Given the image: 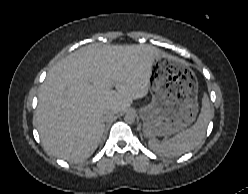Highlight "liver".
I'll return each mask as SVG.
<instances>
[{
    "mask_svg": "<svg viewBox=\"0 0 248 194\" xmlns=\"http://www.w3.org/2000/svg\"><path fill=\"white\" fill-rule=\"evenodd\" d=\"M161 54L148 44L91 45L57 62L39 88L34 114L44 149L74 163L90 157L101 141L105 115L147 95L154 59Z\"/></svg>",
    "mask_w": 248,
    "mask_h": 194,
    "instance_id": "liver-1",
    "label": "liver"
}]
</instances>
